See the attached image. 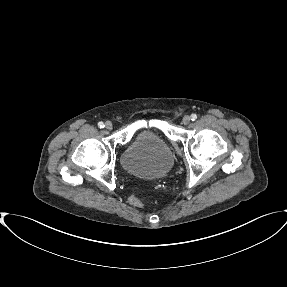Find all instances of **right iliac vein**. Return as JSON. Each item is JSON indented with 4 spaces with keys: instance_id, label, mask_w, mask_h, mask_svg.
<instances>
[{
    "instance_id": "obj_1",
    "label": "right iliac vein",
    "mask_w": 287,
    "mask_h": 287,
    "mask_svg": "<svg viewBox=\"0 0 287 287\" xmlns=\"http://www.w3.org/2000/svg\"><path fill=\"white\" fill-rule=\"evenodd\" d=\"M105 128H106L107 130H112V128H113L112 123H111L110 121H107V122L105 123Z\"/></svg>"
}]
</instances>
